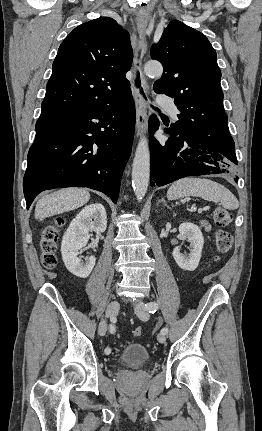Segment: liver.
<instances>
[{
  "mask_svg": "<svg viewBox=\"0 0 262 431\" xmlns=\"http://www.w3.org/2000/svg\"><path fill=\"white\" fill-rule=\"evenodd\" d=\"M90 194L85 189L66 188L43 196L36 203L35 218L39 221L47 217L75 210L85 205Z\"/></svg>",
  "mask_w": 262,
  "mask_h": 431,
  "instance_id": "liver-1",
  "label": "liver"
}]
</instances>
